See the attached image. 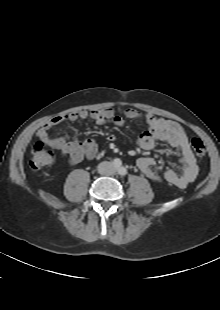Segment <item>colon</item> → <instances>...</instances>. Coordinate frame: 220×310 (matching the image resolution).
Instances as JSON below:
<instances>
[{"mask_svg": "<svg viewBox=\"0 0 220 310\" xmlns=\"http://www.w3.org/2000/svg\"><path fill=\"white\" fill-rule=\"evenodd\" d=\"M191 146L195 155L198 158H203L205 156L206 150L204 143L198 139L194 138L191 142ZM54 161V154L48 150L44 143L38 141L34 143L31 147V157L29 161V166L33 170H40L47 166H50Z\"/></svg>", "mask_w": 220, "mask_h": 310, "instance_id": "1", "label": "colon"}]
</instances>
